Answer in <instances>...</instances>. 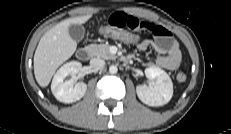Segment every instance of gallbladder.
I'll return each instance as SVG.
<instances>
[{
  "label": "gallbladder",
  "instance_id": "bac80fb5",
  "mask_svg": "<svg viewBox=\"0 0 231 134\" xmlns=\"http://www.w3.org/2000/svg\"><path fill=\"white\" fill-rule=\"evenodd\" d=\"M68 32H69L70 37L74 41L80 42L84 37L85 30H84V27L82 25L72 24L69 26Z\"/></svg>",
  "mask_w": 231,
  "mask_h": 134
}]
</instances>
